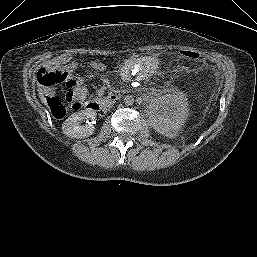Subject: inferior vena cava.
I'll return each mask as SVG.
<instances>
[{
  "label": "inferior vena cava",
  "mask_w": 257,
  "mask_h": 257,
  "mask_svg": "<svg viewBox=\"0 0 257 257\" xmlns=\"http://www.w3.org/2000/svg\"><path fill=\"white\" fill-rule=\"evenodd\" d=\"M114 105V102H112V101H107V102H105V103H103V110L104 111H107V110H109L112 106Z\"/></svg>",
  "instance_id": "obj_1"
}]
</instances>
